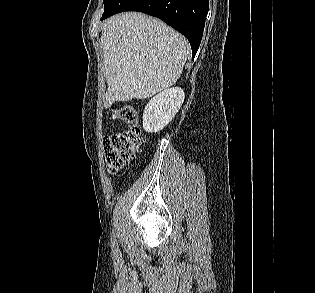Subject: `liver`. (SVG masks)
Masks as SVG:
<instances>
[{"instance_id": "6515ba94", "label": "liver", "mask_w": 315, "mask_h": 293, "mask_svg": "<svg viewBox=\"0 0 315 293\" xmlns=\"http://www.w3.org/2000/svg\"><path fill=\"white\" fill-rule=\"evenodd\" d=\"M104 107L145 99L172 86L181 76L190 45L162 21L137 12L115 15L102 27Z\"/></svg>"}]
</instances>
